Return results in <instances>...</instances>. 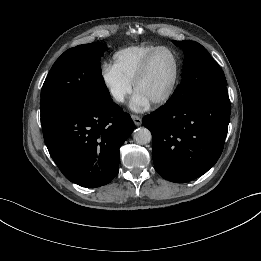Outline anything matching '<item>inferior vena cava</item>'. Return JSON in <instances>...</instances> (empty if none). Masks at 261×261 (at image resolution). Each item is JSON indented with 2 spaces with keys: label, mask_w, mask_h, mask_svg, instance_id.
<instances>
[{
  "label": "inferior vena cava",
  "mask_w": 261,
  "mask_h": 261,
  "mask_svg": "<svg viewBox=\"0 0 261 261\" xmlns=\"http://www.w3.org/2000/svg\"><path fill=\"white\" fill-rule=\"evenodd\" d=\"M115 99L117 101H123L124 100V94L123 93H118L116 96H115Z\"/></svg>",
  "instance_id": "602c4592"
}]
</instances>
